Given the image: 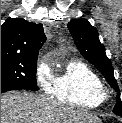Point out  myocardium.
I'll return each instance as SVG.
<instances>
[{
  "mask_svg": "<svg viewBox=\"0 0 122 123\" xmlns=\"http://www.w3.org/2000/svg\"><path fill=\"white\" fill-rule=\"evenodd\" d=\"M97 93H98V96L100 97V99L103 101V100L107 99V97L109 95V90L104 84H101L98 87Z\"/></svg>",
  "mask_w": 122,
  "mask_h": 123,
  "instance_id": "f54148a6",
  "label": "myocardium"
}]
</instances>
